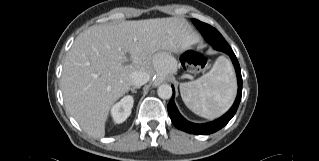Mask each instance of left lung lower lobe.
I'll return each mask as SVG.
<instances>
[{
	"instance_id": "obj_1",
	"label": "left lung lower lobe",
	"mask_w": 319,
	"mask_h": 161,
	"mask_svg": "<svg viewBox=\"0 0 319 161\" xmlns=\"http://www.w3.org/2000/svg\"><path fill=\"white\" fill-rule=\"evenodd\" d=\"M198 28L201 30L204 29V28H202V26H198ZM201 34L203 35V37H208V38H211L209 36V34L212 35V33L209 31H206V32L203 31V32H201ZM222 51L230 56L232 63L234 65L235 71H236V75H237L238 95L236 97V100H235L233 106L222 117H220L212 122L205 123V124H195V123L187 121L179 113V111L175 105V102H174L175 91H174V87L172 86L173 96L168 103L167 109H168V114L171 118L172 123L178 129L185 131L187 133H191V134L208 135V134H212V133L220 130L221 128H223L235 115V113L238 109L240 100H241V96H242V76H241L240 65H239L238 60L236 59L234 52L230 48V46L224 47L222 49Z\"/></svg>"
}]
</instances>
